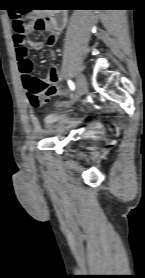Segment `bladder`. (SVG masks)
I'll return each instance as SVG.
<instances>
[{
  "mask_svg": "<svg viewBox=\"0 0 145 278\" xmlns=\"http://www.w3.org/2000/svg\"><path fill=\"white\" fill-rule=\"evenodd\" d=\"M73 121L72 120H67V121H63V122H59L58 124H56L54 126L55 128V131H54V134L55 136L57 137H62L65 135L66 131L68 130L69 128V125L72 123Z\"/></svg>",
  "mask_w": 145,
  "mask_h": 278,
  "instance_id": "bladder-1",
  "label": "bladder"
}]
</instances>
